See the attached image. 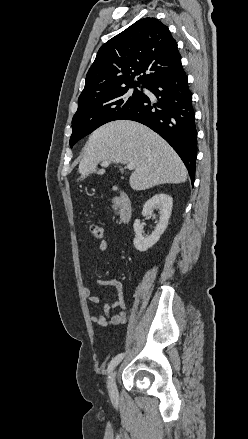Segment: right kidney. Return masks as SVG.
<instances>
[{"label":"right kidney","instance_id":"1","mask_svg":"<svg viewBox=\"0 0 248 439\" xmlns=\"http://www.w3.org/2000/svg\"><path fill=\"white\" fill-rule=\"evenodd\" d=\"M172 205V197L164 193L156 194L144 204L142 210V215L144 217L152 216L155 219V215L153 214L154 209H159L160 217L155 230L148 237H144L142 235L143 225L141 224L140 220H135L133 225L135 232L133 244L137 250L141 252L147 251L159 241L160 236L164 233L168 226V220L172 212Z\"/></svg>","mask_w":248,"mask_h":439}]
</instances>
